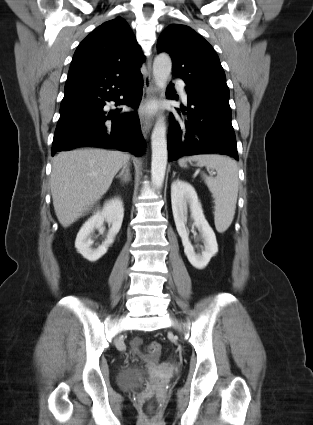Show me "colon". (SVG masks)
Masks as SVG:
<instances>
[{"label": "colon", "mask_w": 313, "mask_h": 425, "mask_svg": "<svg viewBox=\"0 0 313 425\" xmlns=\"http://www.w3.org/2000/svg\"><path fill=\"white\" fill-rule=\"evenodd\" d=\"M145 351L149 354L159 353L161 351V344L158 342H151L145 347Z\"/></svg>", "instance_id": "5ec220e1"}]
</instances>
